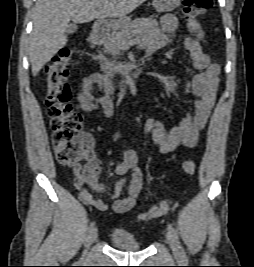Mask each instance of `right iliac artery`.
I'll list each match as a JSON object with an SVG mask.
<instances>
[{
  "mask_svg": "<svg viewBox=\"0 0 254 267\" xmlns=\"http://www.w3.org/2000/svg\"><path fill=\"white\" fill-rule=\"evenodd\" d=\"M95 226V222H91L90 225H89V230L93 229Z\"/></svg>",
  "mask_w": 254,
  "mask_h": 267,
  "instance_id": "right-iliac-artery-1",
  "label": "right iliac artery"
}]
</instances>
